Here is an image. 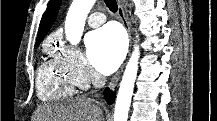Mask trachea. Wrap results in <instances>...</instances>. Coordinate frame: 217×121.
<instances>
[{
	"label": "trachea",
	"mask_w": 217,
	"mask_h": 121,
	"mask_svg": "<svg viewBox=\"0 0 217 121\" xmlns=\"http://www.w3.org/2000/svg\"><path fill=\"white\" fill-rule=\"evenodd\" d=\"M104 2L110 11H112V12L117 11L118 5H117L116 0H104Z\"/></svg>",
	"instance_id": "3493384b"
}]
</instances>
